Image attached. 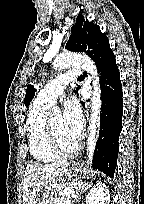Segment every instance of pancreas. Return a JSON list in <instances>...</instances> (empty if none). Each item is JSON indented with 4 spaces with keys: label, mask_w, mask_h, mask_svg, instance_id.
<instances>
[{
    "label": "pancreas",
    "mask_w": 144,
    "mask_h": 204,
    "mask_svg": "<svg viewBox=\"0 0 144 204\" xmlns=\"http://www.w3.org/2000/svg\"><path fill=\"white\" fill-rule=\"evenodd\" d=\"M54 189L46 195V199L43 204H70V196H62L63 189Z\"/></svg>",
    "instance_id": "1"
}]
</instances>
